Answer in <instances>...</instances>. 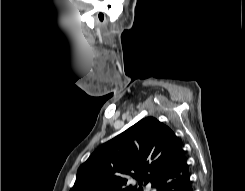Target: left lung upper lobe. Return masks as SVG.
<instances>
[{
    "label": "left lung upper lobe",
    "instance_id": "1",
    "mask_svg": "<svg viewBox=\"0 0 245 191\" xmlns=\"http://www.w3.org/2000/svg\"><path fill=\"white\" fill-rule=\"evenodd\" d=\"M181 150L167 125L145 117L98 147L79 167L70 191H143V184H156ZM130 177L139 187L127 185Z\"/></svg>",
    "mask_w": 245,
    "mask_h": 191
}]
</instances>
